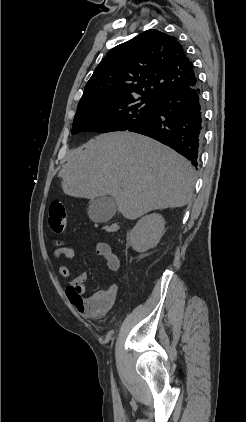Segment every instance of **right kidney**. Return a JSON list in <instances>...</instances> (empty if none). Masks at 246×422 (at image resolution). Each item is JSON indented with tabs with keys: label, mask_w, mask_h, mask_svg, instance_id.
Segmentation results:
<instances>
[{
	"label": "right kidney",
	"mask_w": 246,
	"mask_h": 422,
	"mask_svg": "<svg viewBox=\"0 0 246 422\" xmlns=\"http://www.w3.org/2000/svg\"><path fill=\"white\" fill-rule=\"evenodd\" d=\"M165 220L159 214H150L141 218L129 234L132 248L140 253L155 247L163 233Z\"/></svg>",
	"instance_id": "1"
}]
</instances>
